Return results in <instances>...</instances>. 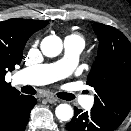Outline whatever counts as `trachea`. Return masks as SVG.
I'll use <instances>...</instances> for the list:
<instances>
[{"instance_id": "1", "label": "trachea", "mask_w": 131, "mask_h": 131, "mask_svg": "<svg viewBox=\"0 0 131 131\" xmlns=\"http://www.w3.org/2000/svg\"><path fill=\"white\" fill-rule=\"evenodd\" d=\"M22 92L26 94H35L36 93L35 89L31 86L22 87ZM57 96L60 99L68 100V101L73 100L75 98L73 94L65 93V92L57 93Z\"/></svg>"}]
</instances>
